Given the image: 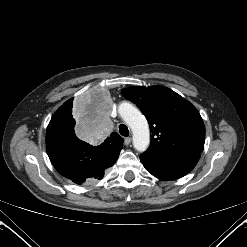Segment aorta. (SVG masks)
Segmentation results:
<instances>
[{
    "instance_id": "aorta-1",
    "label": "aorta",
    "mask_w": 247,
    "mask_h": 247,
    "mask_svg": "<svg viewBox=\"0 0 247 247\" xmlns=\"http://www.w3.org/2000/svg\"><path fill=\"white\" fill-rule=\"evenodd\" d=\"M118 113L133 133V146L139 152L147 150L150 143V131L146 118L130 103L123 102L118 107Z\"/></svg>"
}]
</instances>
